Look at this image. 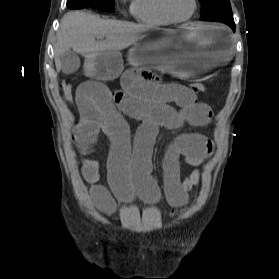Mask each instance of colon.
<instances>
[{"instance_id":"obj_1","label":"colon","mask_w":279,"mask_h":279,"mask_svg":"<svg viewBox=\"0 0 279 279\" xmlns=\"http://www.w3.org/2000/svg\"><path fill=\"white\" fill-rule=\"evenodd\" d=\"M190 89L193 93H202L206 90V87L203 83H193L190 86ZM62 93L65 101L71 102L74 99V87L71 84L62 85Z\"/></svg>"}]
</instances>
